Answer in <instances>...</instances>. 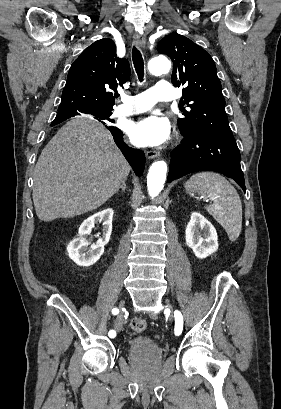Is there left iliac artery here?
Instances as JSON below:
<instances>
[{"instance_id":"44dca946","label":"left iliac artery","mask_w":281,"mask_h":409,"mask_svg":"<svg viewBox=\"0 0 281 409\" xmlns=\"http://www.w3.org/2000/svg\"><path fill=\"white\" fill-rule=\"evenodd\" d=\"M174 317H175V334L180 335L183 330V317L178 310L174 312Z\"/></svg>"}]
</instances>
